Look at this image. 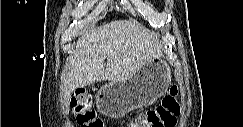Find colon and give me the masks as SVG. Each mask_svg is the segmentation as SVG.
<instances>
[{
	"label": "colon",
	"instance_id": "1",
	"mask_svg": "<svg viewBox=\"0 0 243 127\" xmlns=\"http://www.w3.org/2000/svg\"><path fill=\"white\" fill-rule=\"evenodd\" d=\"M179 89L173 86L170 93L165 96L161 103L151 109H148L133 120L130 121L129 127H174L177 118L181 113V106L177 101ZM71 107L76 117L77 123L81 127H103L104 123L96 116L92 108L91 95L81 93L74 96L71 100Z\"/></svg>",
	"mask_w": 243,
	"mask_h": 127
}]
</instances>
